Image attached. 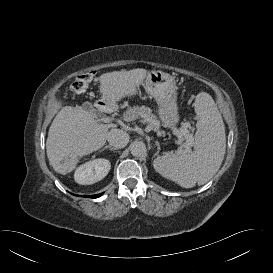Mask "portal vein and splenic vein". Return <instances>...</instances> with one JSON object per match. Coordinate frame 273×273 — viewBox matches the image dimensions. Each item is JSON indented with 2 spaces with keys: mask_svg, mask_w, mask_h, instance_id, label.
<instances>
[{
  "mask_svg": "<svg viewBox=\"0 0 273 273\" xmlns=\"http://www.w3.org/2000/svg\"><path fill=\"white\" fill-rule=\"evenodd\" d=\"M99 121H104V122L110 123L111 125H114L113 120L111 118H108V119L102 118V119H99ZM190 146H191V143L187 141L186 143L182 144L181 147H183L185 151H189Z\"/></svg>",
  "mask_w": 273,
  "mask_h": 273,
  "instance_id": "portal-vein-and-splenic-vein-1",
  "label": "portal vein and splenic vein"
}]
</instances>
